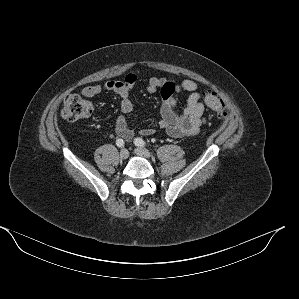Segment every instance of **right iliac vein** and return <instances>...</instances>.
I'll use <instances>...</instances> for the list:
<instances>
[{
	"instance_id": "right-iliac-vein-1",
	"label": "right iliac vein",
	"mask_w": 299,
	"mask_h": 299,
	"mask_svg": "<svg viewBox=\"0 0 299 299\" xmlns=\"http://www.w3.org/2000/svg\"><path fill=\"white\" fill-rule=\"evenodd\" d=\"M128 157H129V152H128V150H127V149H122V150L120 151V158L123 159V160H125V159H127Z\"/></svg>"
}]
</instances>
